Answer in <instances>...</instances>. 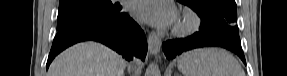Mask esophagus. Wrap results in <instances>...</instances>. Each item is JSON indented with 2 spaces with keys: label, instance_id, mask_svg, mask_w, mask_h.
Segmentation results:
<instances>
[{
  "label": "esophagus",
  "instance_id": "34e87169",
  "mask_svg": "<svg viewBox=\"0 0 287 76\" xmlns=\"http://www.w3.org/2000/svg\"><path fill=\"white\" fill-rule=\"evenodd\" d=\"M148 49L152 55L157 56L160 60L162 55L160 54L161 39L156 33H150L148 36Z\"/></svg>",
  "mask_w": 287,
  "mask_h": 76
}]
</instances>
